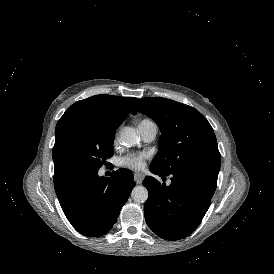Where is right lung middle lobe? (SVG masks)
<instances>
[{
    "label": "right lung middle lobe",
    "mask_w": 274,
    "mask_h": 274,
    "mask_svg": "<svg viewBox=\"0 0 274 274\" xmlns=\"http://www.w3.org/2000/svg\"><path fill=\"white\" fill-rule=\"evenodd\" d=\"M124 120L118 115H86L66 124L53 148V160L64 175L98 170L113 156L115 132Z\"/></svg>",
    "instance_id": "dd1d6c3e"
}]
</instances>
